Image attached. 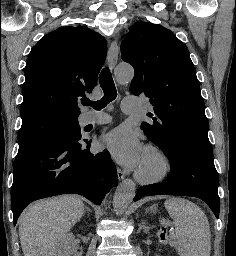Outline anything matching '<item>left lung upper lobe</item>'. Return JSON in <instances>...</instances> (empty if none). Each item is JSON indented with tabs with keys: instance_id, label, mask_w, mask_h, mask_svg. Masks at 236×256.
<instances>
[{
	"instance_id": "1",
	"label": "left lung upper lobe",
	"mask_w": 236,
	"mask_h": 256,
	"mask_svg": "<svg viewBox=\"0 0 236 256\" xmlns=\"http://www.w3.org/2000/svg\"><path fill=\"white\" fill-rule=\"evenodd\" d=\"M121 43L135 70L130 91L150 98L143 131L164 154L184 147L212 151L199 82L187 46L161 25L136 22Z\"/></svg>"
}]
</instances>
